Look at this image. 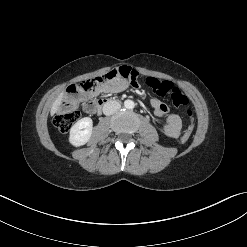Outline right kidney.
I'll return each instance as SVG.
<instances>
[{"label": "right kidney", "mask_w": 247, "mask_h": 247, "mask_svg": "<svg viewBox=\"0 0 247 247\" xmlns=\"http://www.w3.org/2000/svg\"><path fill=\"white\" fill-rule=\"evenodd\" d=\"M92 129L93 121L91 118L80 119L71 127L69 142L75 147L86 144L92 135Z\"/></svg>", "instance_id": "obj_1"}]
</instances>
